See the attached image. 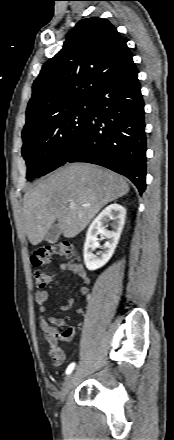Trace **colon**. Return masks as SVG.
Here are the masks:
<instances>
[{"instance_id":"1","label":"colon","mask_w":174,"mask_h":440,"mask_svg":"<svg viewBox=\"0 0 174 440\" xmlns=\"http://www.w3.org/2000/svg\"><path fill=\"white\" fill-rule=\"evenodd\" d=\"M74 256L75 253L72 245L67 242H57L46 244L36 249L31 255V261L35 267H40L50 264L54 258L71 259ZM34 280L38 288H44L52 282L53 274L36 269L34 271ZM54 323L59 327L63 326V321L60 319H55ZM56 336L63 341H68L72 336V329L69 327L64 328Z\"/></svg>"}]
</instances>
